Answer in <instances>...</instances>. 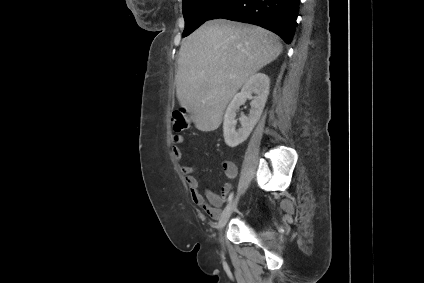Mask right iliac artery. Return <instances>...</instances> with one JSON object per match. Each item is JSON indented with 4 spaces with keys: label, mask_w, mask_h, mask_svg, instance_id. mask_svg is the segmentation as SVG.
Masks as SVG:
<instances>
[{
    "label": "right iliac artery",
    "mask_w": 424,
    "mask_h": 283,
    "mask_svg": "<svg viewBox=\"0 0 424 283\" xmlns=\"http://www.w3.org/2000/svg\"><path fill=\"white\" fill-rule=\"evenodd\" d=\"M232 199H233V193H231V194L229 195V197H228V203H230V202L232 201Z\"/></svg>",
    "instance_id": "obj_1"
}]
</instances>
